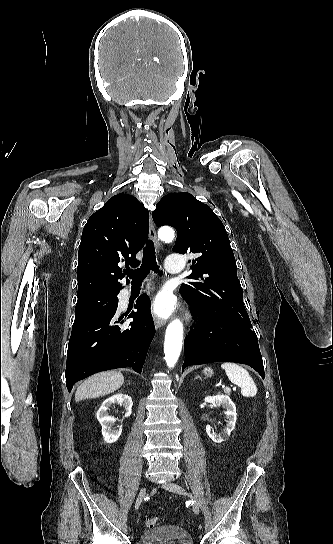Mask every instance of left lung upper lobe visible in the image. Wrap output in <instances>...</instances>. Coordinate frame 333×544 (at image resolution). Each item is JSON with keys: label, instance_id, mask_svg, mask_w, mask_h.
Returning a JSON list of instances; mask_svg holds the SVG:
<instances>
[{"label": "left lung upper lobe", "instance_id": "1", "mask_svg": "<svg viewBox=\"0 0 333 544\" xmlns=\"http://www.w3.org/2000/svg\"><path fill=\"white\" fill-rule=\"evenodd\" d=\"M152 217L157 226L177 230L174 252L198 254L189 276L197 281L182 284L180 293L216 317L251 328L229 238L211 208L189 193H173L161 199Z\"/></svg>", "mask_w": 333, "mask_h": 544}]
</instances>
